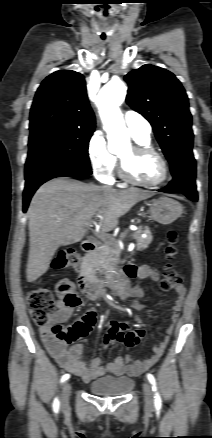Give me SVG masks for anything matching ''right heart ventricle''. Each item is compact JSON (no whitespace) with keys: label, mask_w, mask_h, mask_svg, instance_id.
I'll return each mask as SVG.
<instances>
[{"label":"right heart ventricle","mask_w":212,"mask_h":438,"mask_svg":"<svg viewBox=\"0 0 212 438\" xmlns=\"http://www.w3.org/2000/svg\"><path fill=\"white\" fill-rule=\"evenodd\" d=\"M134 139L136 140V142L138 144H141V145H149V143H150V138L149 139L134 138Z\"/></svg>","instance_id":"obj_1"}]
</instances>
